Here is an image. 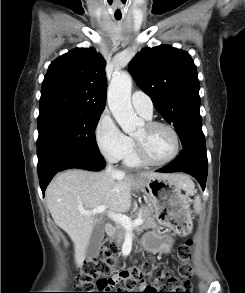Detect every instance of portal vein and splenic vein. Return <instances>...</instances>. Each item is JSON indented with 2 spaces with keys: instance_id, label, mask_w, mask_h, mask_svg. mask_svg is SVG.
<instances>
[{
  "instance_id": "1",
  "label": "portal vein and splenic vein",
  "mask_w": 245,
  "mask_h": 293,
  "mask_svg": "<svg viewBox=\"0 0 245 293\" xmlns=\"http://www.w3.org/2000/svg\"><path fill=\"white\" fill-rule=\"evenodd\" d=\"M106 209H107V206L102 205L91 211L80 210V212L83 215L90 216V215L101 214L105 212ZM108 217L114 220L115 222L121 224L126 230H132L134 227H137L143 224V220L141 218L131 220V218H129L128 216L119 214V213L108 212Z\"/></svg>"
}]
</instances>
